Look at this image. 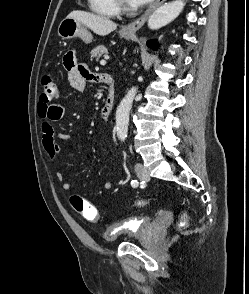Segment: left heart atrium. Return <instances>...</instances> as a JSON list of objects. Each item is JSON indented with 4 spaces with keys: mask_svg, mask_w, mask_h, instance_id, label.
I'll return each instance as SVG.
<instances>
[{
    "mask_svg": "<svg viewBox=\"0 0 249 294\" xmlns=\"http://www.w3.org/2000/svg\"><path fill=\"white\" fill-rule=\"evenodd\" d=\"M150 1H152V0H130V3L132 5L141 6V5H144Z\"/></svg>",
    "mask_w": 249,
    "mask_h": 294,
    "instance_id": "left-heart-atrium-1",
    "label": "left heart atrium"
}]
</instances>
